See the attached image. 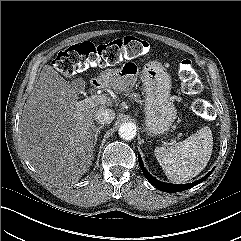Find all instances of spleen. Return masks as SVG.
<instances>
[{"label": "spleen", "instance_id": "3e777b00", "mask_svg": "<svg viewBox=\"0 0 241 241\" xmlns=\"http://www.w3.org/2000/svg\"><path fill=\"white\" fill-rule=\"evenodd\" d=\"M212 149V132L205 126L182 142L170 147H157L155 156L171 182L183 183L207 166Z\"/></svg>", "mask_w": 241, "mask_h": 241}]
</instances>
